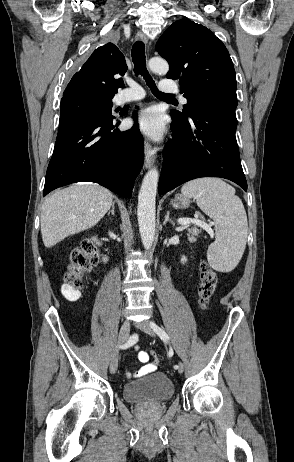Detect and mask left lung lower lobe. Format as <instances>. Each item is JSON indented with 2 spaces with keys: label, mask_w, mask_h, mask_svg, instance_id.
Here are the masks:
<instances>
[{
  "label": "left lung lower lobe",
  "mask_w": 294,
  "mask_h": 462,
  "mask_svg": "<svg viewBox=\"0 0 294 462\" xmlns=\"http://www.w3.org/2000/svg\"><path fill=\"white\" fill-rule=\"evenodd\" d=\"M236 106L212 102L191 115L190 121L172 117L173 135L163 154L160 195L191 179L208 176L229 179L247 191L235 137Z\"/></svg>",
  "instance_id": "left-lung-lower-lobe-1"
}]
</instances>
